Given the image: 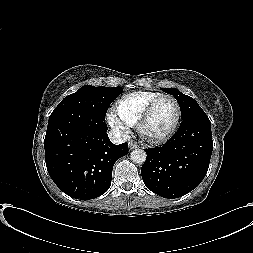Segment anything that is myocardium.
Returning a JSON list of instances; mask_svg holds the SVG:
<instances>
[{
  "instance_id": "f54148a6",
  "label": "myocardium",
  "mask_w": 253,
  "mask_h": 253,
  "mask_svg": "<svg viewBox=\"0 0 253 253\" xmlns=\"http://www.w3.org/2000/svg\"><path fill=\"white\" fill-rule=\"evenodd\" d=\"M164 99H170L175 104L176 118H175V121H174L172 127L165 134H163L161 136L153 137V136L148 135L145 132V127H146L148 121L150 120L156 106ZM181 113H182L181 106H180L178 100L174 96L168 95V94H166V95L163 94V95L157 97L146 107V109L142 113V115L136 125L139 136L143 140L147 141L148 143L155 144V145L167 142L169 139L172 138V136L175 134V132L178 129V126H179V123L181 120Z\"/></svg>"
}]
</instances>
